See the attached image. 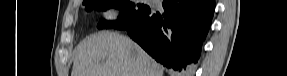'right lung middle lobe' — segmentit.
Instances as JSON below:
<instances>
[{"mask_svg": "<svg viewBox=\"0 0 287 76\" xmlns=\"http://www.w3.org/2000/svg\"><path fill=\"white\" fill-rule=\"evenodd\" d=\"M83 4L87 11L92 9L107 10L109 8L121 10L117 21L103 20L98 23V29L125 30L144 17L150 10L149 6L144 3H134L129 0H88Z\"/></svg>", "mask_w": 287, "mask_h": 76, "instance_id": "1", "label": "right lung middle lobe"}]
</instances>
